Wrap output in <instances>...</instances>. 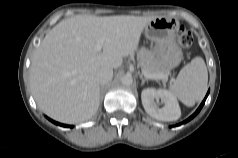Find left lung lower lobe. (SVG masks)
Returning a JSON list of instances; mask_svg holds the SVG:
<instances>
[{"instance_id":"obj_1","label":"left lung lower lobe","mask_w":238,"mask_h":158,"mask_svg":"<svg viewBox=\"0 0 238 158\" xmlns=\"http://www.w3.org/2000/svg\"><path fill=\"white\" fill-rule=\"evenodd\" d=\"M208 94H209V91H208V93H207L205 99L203 100V102H202L201 105L199 106V108L196 110V112H195L192 116H190L187 120H185L183 123H186V122L190 121L192 118H194V117L198 114V112H199V111L201 110V108L203 107V105H204V103H205V100H206ZM179 125H180V124H179Z\"/></svg>"}]
</instances>
